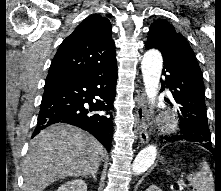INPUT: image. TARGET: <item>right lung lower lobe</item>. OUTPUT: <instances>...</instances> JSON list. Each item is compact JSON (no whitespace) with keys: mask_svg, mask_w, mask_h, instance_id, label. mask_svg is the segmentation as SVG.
<instances>
[{"mask_svg":"<svg viewBox=\"0 0 221 191\" xmlns=\"http://www.w3.org/2000/svg\"><path fill=\"white\" fill-rule=\"evenodd\" d=\"M117 65L95 74L45 82L37 127L40 130L55 124L68 123L95 136L108 150L113 135V102L116 92ZM98 96L102 100L93 102ZM105 111L107 114H94Z\"/></svg>","mask_w":221,"mask_h":191,"instance_id":"1","label":"right lung lower lobe"}]
</instances>
